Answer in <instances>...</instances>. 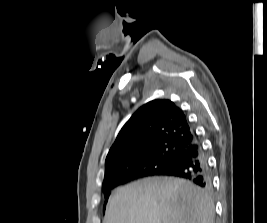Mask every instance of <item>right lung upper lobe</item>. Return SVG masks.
Returning <instances> with one entry per match:
<instances>
[{
	"label": "right lung upper lobe",
	"mask_w": 267,
	"mask_h": 223,
	"mask_svg": "<svg viewBox=\"0 0 267 223\" xmlns=\"http://www.w3.org/2000/svg\"><path fill=\"white\" fill-rule=\"evenodd\" d=\"M196 137L183 110L170 100H153L140 107L126 122L109 150L105 179L133 171L136 160L152 155L156 148L175 145L183 151Z\"/></svg>",
	"instance_id": "obj_1"
}]
</instances>
